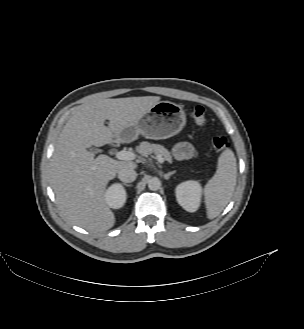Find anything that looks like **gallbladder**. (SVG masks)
<instances>
[{
	"label": "gallbladder",
	"instance_id": "1",
	"mask_svg": "<svg viewBox=\"0 0 304 329\" xmlns=\"http://www.w3.org/2000/svg\"><path fill=\"white\" fill-rule=\"evenodd\" d=\"M91 151L94 152V153H97L98 152L97 149H91Z\"/></svg>",
	"mask_w": 304,
	"mask_h": 329
}]
</instances>
